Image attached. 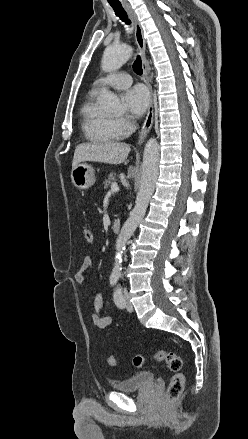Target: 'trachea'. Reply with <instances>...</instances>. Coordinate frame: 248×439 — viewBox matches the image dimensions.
I'll list each match as a JSON object with an SVG mask.
<instances>
[{
    "mask_svg": "<svg viewBox=\"0 0 248 439\" xmlns=\"http://www.w3.org/2000/svg\"><path fill=\"white\" fill-rule=\"evenodd\" d=\"M111 7L113 8L116 16H118L123 22H125L128 25L131 24V21L128 19V16L121 5L111 4ZM133 70L135 71L136 74L142 75L143 69H142V61L140 56H138L135 62L133 63Z\"/></svg>",
    "mask_w": 248,
    "mask_h": 439,
    "instance_id": "obj_1",
    "label": "trachea"
}]
</instances>
